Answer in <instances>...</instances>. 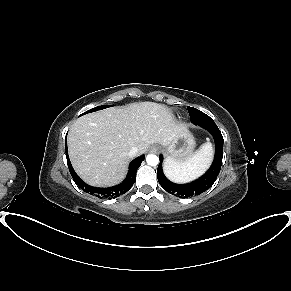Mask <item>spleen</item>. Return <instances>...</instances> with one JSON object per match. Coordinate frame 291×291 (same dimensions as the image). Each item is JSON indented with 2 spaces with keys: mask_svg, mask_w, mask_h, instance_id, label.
I'll return each instance as SVG.
<instances>
[{
  "mask_svg": "<svg viewBox=\"0 0 291 291\" xmlns=\"http://www.w3.org/2000/svg\"><path fill=\"white\" fill-rule=\"evenodd\" d=\"M212 158L213 147L210 143H205L184 161L167 158L163 164V170L170 181L186 183L202 175L210 166Z\"/></svg>",
  "mask_w": 291,
  "mask_h": 291,
  "instance_id": "obj_1",
  "label": "spleen"
}]
</instances>
